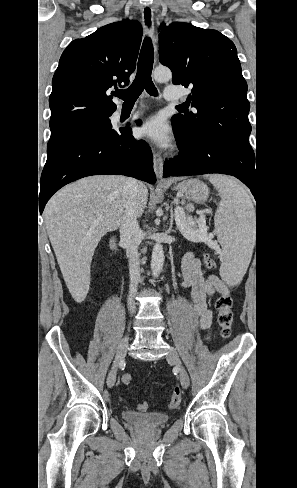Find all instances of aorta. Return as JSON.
<instances>
[{
  "mask_svg": "<svg viewBox=\"0 0 297 488\" xmlns=\"http://www.w3.org/2000/svg\"><path fill=\"white\" fill-rule=\"evenodd\" d=\"M153 78L157 82L169 81L172 78V72L166 67L158 66L153 70ZM164 264V250L160 242H156L153 246L151 257L152 276L157 278L162 270Z\"/></svg>",
  "mask_w": 297,
  "mask_h": 488,
  "instance_id": "762f6f07",
  "label": "aorta"
}]
</instances>
